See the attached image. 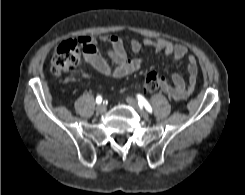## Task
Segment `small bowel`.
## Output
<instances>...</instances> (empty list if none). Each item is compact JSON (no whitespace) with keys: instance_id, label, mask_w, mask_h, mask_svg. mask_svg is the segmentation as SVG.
<instances>
[{"instance_id":"small-bowel-1","label":"small bowel","mask_w":245,"mask_h":195,"mask_svg":"<svg viewBox=\"0 0 245 195\" xmlns=\"http://www.w3.org/2000/svg\"><path fill=\"white\" fill-rule=\"evenodd\" d=\"M79 43L84 48L83 56L95 70L111 78H122L137 71L142 64L139 58H130L122 40L113 35L101 36L100 40L110 45L108 51L109 60H106L98 51L97 38L93 36H81ZM143 47H150L156 53H163L171 57L173 62L183 58L187 59L188 82L183 77L174 73L172 85L164 81L162 91L175 101H182L188 98L195 89L198 76V63L193 55L188 54V49L182 44H173L166 39H144L143 41L133 40L130 43V51L138 53Z\"/></svg>"}]
</instances>
